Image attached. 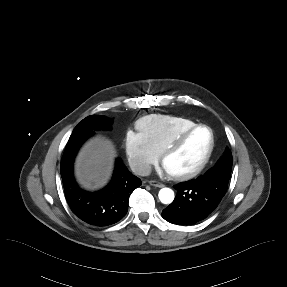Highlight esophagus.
I'll return each mask as SVG.
<instances>
[{"label":"esophagus","mask_w":287,"mask_h":287,"mask_svg":"<svg viewBox=\"0 0 287 287\" xmlns=\"http://www.w3.org/2000/svg\"><path fill=\"white\" fill-rule=\"evenodd\" d=\"M149 184H150L151 186H155V187H158V188L164 187V184H162L161 182L156 181V180H150V181H149Z\"/></svg>","instance_id":"obj_1"}]
</instances>
